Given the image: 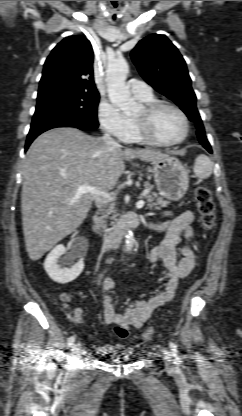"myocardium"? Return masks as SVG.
I'll use <instances>...</instances> for the list:
<instances>
[{"label":"myocardium","mask_w":242,"mask_h":416,"mask_svg":"<svg viewBox=\"0 0 242 416\" xmlns=\"http://www.w3.org/2000/svg\"><path fill=\"white\" fill-rule=\"evenodd\" d=\"M162 108H170L174 110L182 119L184 130L180 138L174 141H163L160 140L155 136L151 128V120L152 117L156 112H158ZM143 116L141 118H135L134 123L136 125L137 132L141 138V140L147 144L154 145V146H174L181 144L185 141L189 134V120L185 112L178 107L177 105L167 102V101H159L155 100L153 102L147 103L143 106Z\"/></svg>","instance_id":"myocardium-1"}]
</instances>
